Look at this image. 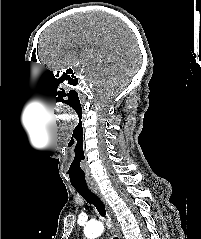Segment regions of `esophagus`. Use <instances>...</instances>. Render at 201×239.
<instances>
[{
	"label": "esophagus",
	"instance_id": "34e87169",
	"mask_svg": "<svg viewBox=\"0 0 201 239\" xmlns=\"http://www.w3.org/2000/svg\"><path fill=\"white\" fill-rule=\"evenodd\" d=\"M90 190L95 193L101 200L102 202L105 204L106 206V209H107V212L108 214L111 216L112 218V221H113V225H114V230L118 236V239H123L122 238V235H121V231H120V227H119V224L116 222L115 218H114V214L112 212V210L110 209V207L108 206L104 196L102 195L100 189L98 188V186H90Z\"/></svg>",
	"mask_w": 201,
	"mask_h": 239
}]
</instances>
